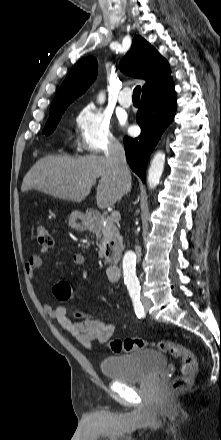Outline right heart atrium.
<instances>
[{"instance_id": "right-heart-atrium-1", "label": "right heart atrium", "mask_w": 221, "mask_h": 440, "mask_svg": "<svg viewBox=\"0 0 221 440\" xmlns=\"http://www.w3.org/2000/svg\"><path fill=\"white\" fill-rule=\"evenodd\" d=\"M75 121L76 140L82 151L95 154L111 151L118 146L110 118L97 107H82Z\"/></svg>"}]
</instances>
